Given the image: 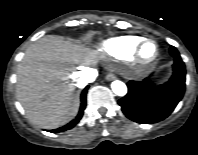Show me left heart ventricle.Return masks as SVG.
Wrapping results in <instances>:
<instances>
[{
  "mask_svg": "<svg viewBox=\"0 0 198 155\" xmlns=\"http://www.w3.org/2000/svg\"><path fill=\"white\" fill-rule=\"evenodd\" d=\"M144 52L146 55H150L153 52V47L151 45L145 46Z\"/></svg>",
  "mask_w": 198,
  "mask_h": 155,
  "instance_id": "left-heart-ventricle-1",
  "label": "left heart ventricle"
}]
</instances>
